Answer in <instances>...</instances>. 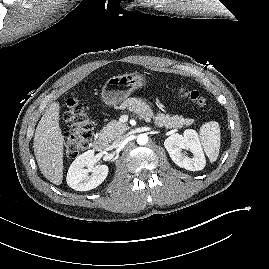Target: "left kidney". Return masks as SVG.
<instances>
[{"mask_svg":"<svg viewBox=\"0 0 269 269\" xmlns=\"http://www.w3.org/2000/svg\"><path fill=\"white\" fill-rule=\"evenodd\" d=\"M164 146L179 167L189 171H200L205 167L206 160L195 130L187 129L183 135L172 134L164 141ZM182 149L190 151L192 157H188Z\"/></svg>","mask_w":269,"mask_h":269,"instance_id":"obj_1","label":"left kidney"}]
</instances>
